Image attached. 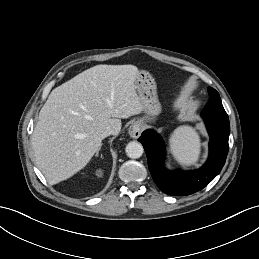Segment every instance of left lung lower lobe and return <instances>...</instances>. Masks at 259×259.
<instances>
[{"mask_svg": "<svg viewBox=\"0 0 259 259\" xmlns=\"http://www.w3.org/2000/svg\"><path fill=\"white\" fill-rule=\"evenodd\" d=\"M210 100L202 112L210 135L209 157L199 169L193 171H168L163 167L164 143L154 130H146L138 139L145 149L148 167L156 185L166 194L186 196L202 190L223 168L230 134L229 118L223 108L219 93L208 88Z\"/></svg>", "mask_w": 259, "mask_h": 259, "instance_id": "obj_1", "label": "left lung lower lobe"}]
</instances>
